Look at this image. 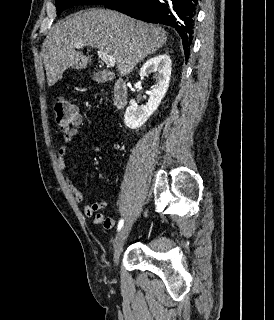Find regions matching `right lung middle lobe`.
Segmentation results:
<instances>
[{"label": "right lung middle lobe", "mask_w": 274, "mask_h": 320, "mask_svg": "<svg viewBox=\"0 0 274 320\" xmlns=\"http://www.w3.org/2000/svg\"><path fill=\"white\" fill-rule=\"evenodd\" d=\"M57 15L61 14L63 10L75 6V5H84V4H93V5H105L111 0H55Z\"/></svg>", "instance_id": "obj_1"}]
</instances>
